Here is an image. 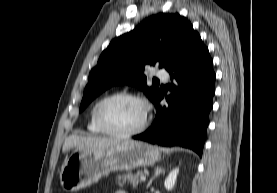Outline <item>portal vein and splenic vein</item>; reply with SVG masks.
<instances>
[{
	"mask_svg": "<svg viewBox=\"0 0 277 193\" xmlns=\"http://www.w3.org/2000/svg\"><path fill=\"white\" fill-rule=\"evenodd\" d=\"M140 180H141V181H145V180H146V177H145V176H141V177H140Z\"/></svg>",
	"mask_w": 277,
	"mask_h": 193,
	"instance_id": "portal-vein-and-splenic-vein-1",
	"label": "portal vein and splenic vein"
}]
</instances>
